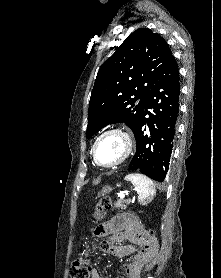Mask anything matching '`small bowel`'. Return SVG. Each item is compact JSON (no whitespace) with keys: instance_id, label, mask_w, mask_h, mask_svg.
Returning a JSON list of instances; mask_svg holds the SVG:
<instances>
[{"instance_id":"small-bowel-1","label":"small bowel","mask_w":221,"mask_h":278,"mask_svg":"<svg viewBox=\"0 0 221 278\" xmlns=\"http://www.w3.org/2000/svg\"><path fill=\"white\" fill-rule=\"evenodd\" d=\"M108 231L111 245L107 252L116 257L133 254L130 262L124 264L127 278H140L143 266L156 254L157 241L149 235L139 219L129 214H118L112 218L105 229H98L97 234ZM91 278H104L96 269H92Z\"/></svg>"}]
</instances>
